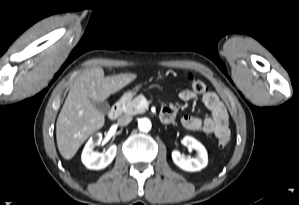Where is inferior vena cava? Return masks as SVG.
Instances as JSON below:
<instances>
[{"label":"inferior vena cava","mask_w":299,"mask_h":205,"mask_svg":"<svg viewBox=\"0 0 299 205\" xmlns=\"http://www.w3.org/2000/svg\"><path fill=\"white\" fill-rule=\"evenodd\" d=\"M132 121V117L128 115H122L118 118V123L121 126H126Z\"/></svg>","instance_id":"1"}]
</instances>
